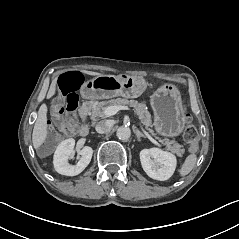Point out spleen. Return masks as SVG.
I'll list each match as a JSON object with an SVG mask.
<instances>
[{
    "label": "spleen",
    "instance_id": "3e777b00",
    "mask_svg": "<svg viewBox=\"0 0 239 239\" xmlns=\"http://www.w3.org/2000/svg\"><path fill=\"white\" fill-rule=\"evenodd\" d=\"M196 155L195 154H191L189 155L184 164L182 165V168L180 169V175L181 176H185L187 174H189L191 172V170L194 168L195 164H196Z\"/></svg>",
    "mask_w": 239,
    "mask_h": 239
}]
</instances>
